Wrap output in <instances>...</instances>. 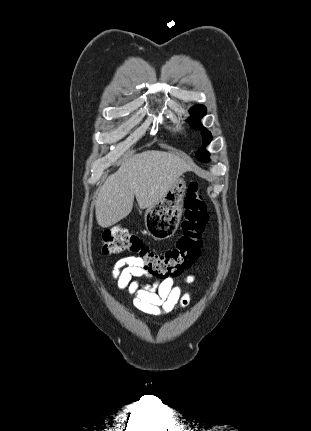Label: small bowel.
<instances>
[{"mask_svg": "<svg viewBox=\"0 0 311 431\" xmlns=\"http://www.w3.org/2000/svg\"><path fill=\"white\" fill-rule=\"evenodd\" d=\"M112 278L119 290H126L133 297L134 306L147 314L164 315L177 309L186 307L190 301V294L183 292L171 278L157 281L153 285H142L134 278L149 276L144 262L135 256H128L118 260L112 271ZM195 275L186 278L187 283L195 281Z\"/></svg>", "mask_w": 311, "mask_h": 431, "instance_id": "small-bowel-1", "label": "small bowel"}]
</instances>
